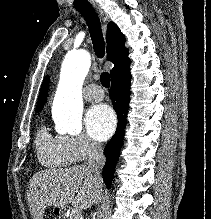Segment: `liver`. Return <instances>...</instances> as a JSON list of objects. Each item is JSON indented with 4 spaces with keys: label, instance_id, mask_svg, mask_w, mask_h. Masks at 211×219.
Segmentation results:
<instances>
[{
    "label": "liver",
    "instance_id": "6515ba94",
    "mask_svg": "<svg viewBox=\"0 0 211 219\" xmlns=\"http://www.w3.org/2000/svg\"><path fill=\"white\" fill-rule=\"evenodd\" d=\"M102 186V185H101ZM102 188L86 166L49 169L32 176L28 185L27 200L33 219H43L48 206L65 209L69 203L86 210L101 198Z\"/></svg>",
    "mask_w": 211,
    "mask_h": 219
}]
</instances>
